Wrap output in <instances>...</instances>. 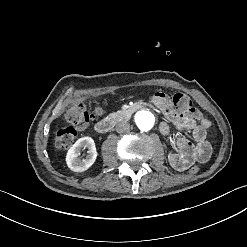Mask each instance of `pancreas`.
I'll return each mask as SVG.
<instances>
[{
	"label": "pancreas",
	"instance_id": "cf45deb5",
	"mask_svg": "<svg viewBox=\"0 0 247 247\" xmlns=\"http://www.w3.org/2000/svg\"><path fill=\"white\" fill-rule=\"evenodd\" d=\"M119 116V113L118 112H113V113H110L108 118L110 120H115L117 117Z\"/></svg>",
	"mask_w": 247,
	"mask_h": 247
}]
</instances>
